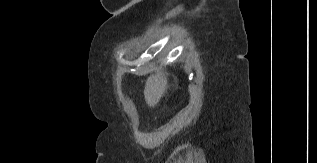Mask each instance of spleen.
Instances as JSON below:
<instances>
[{
    "instance_id": "obj_1",
    "label": "spleen",
    "mask_w": 317,
    "mask_h": 163,
    "mask_svg": "<svg viewBox=\"0 0 317 163\" xmlns=\"http://www.w3.org/2000/svg\"><path fill=\"white\" fill-rule=\"evenodd\" d=\"M167 88V75L155 74L148 77L144 95L150 105L156 104Z\"/></svg>"
}]
</instances>
